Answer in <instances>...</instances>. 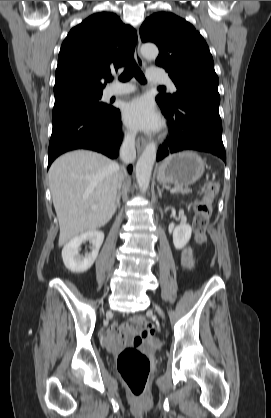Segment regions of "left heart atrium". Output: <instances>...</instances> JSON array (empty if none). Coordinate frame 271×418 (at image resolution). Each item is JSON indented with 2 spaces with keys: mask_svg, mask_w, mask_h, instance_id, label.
<instances>
[{
  "mask_svg": "<svg viewBox=\"0 0 271 418\" xmlns=\"http://www.w3.org/2000/svg\"><path fill=\"white\" fill-rule=\"evenodd\" d=\"M123 120L132 130L153 131L161 126V119L152 102L147 98H137L123 108Z\"/></svg>",
  "mask_w": 271,
  "mask_h": 418,
  "instance_id": "1",
  "label": "left heart atrium"
}]
</instances>
